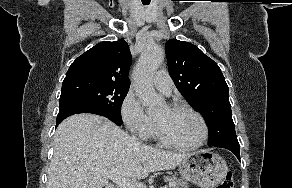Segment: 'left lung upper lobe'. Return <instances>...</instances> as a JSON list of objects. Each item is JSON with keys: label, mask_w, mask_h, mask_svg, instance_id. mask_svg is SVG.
Here are the masks:
<instances>
[{"label": "left lung upper lobe", "mask_w": 292, "mask_h": 188, "mask_svg": "<svg viewBox=\"0 0 292 188\" xmlns=\"http://www.w3.org/2000/svg\"><path fill=\"white\" fill-rule=\"evenodd\" d=\"M166 53L177 89L207 122L208 145L236 136L228 86L219 66L189 42L171 39Z\"/></svg>", "instance_id": "1"}]
</instances>
